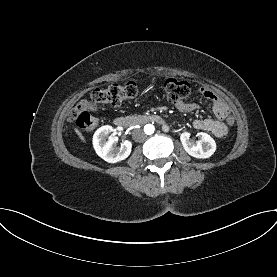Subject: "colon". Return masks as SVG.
<instances>
[{
    "instance_id": "5ec220e1",
    "label": "colon",
    "mask_w": 277,
    "mask_h": 277,
    "mask_svg": "<svg viewBox=\"0 0 277 277\" xmlns=\"http://www.w3.org/2000/svg\"><path fill=\"white\" fill-rule=\"evenodd\" d=\"M165 90L170 100L175 103L182 102L190 94L188 82L178 79H168L165 82ZM138 89L135 83L124 84L114 83L104 88H96L91 91L88 99L80 100L70 113V120L84 130H92L99 124V119L95 114L99 104L119 105L124 101L133 99L137 95ZM223 123L231 128L235 125L234 116L228 115Z\"/></svg>"
}]
</instances>
